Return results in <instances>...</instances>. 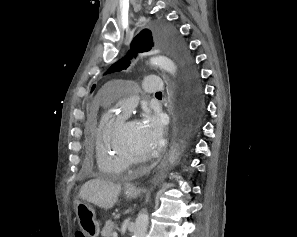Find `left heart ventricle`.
<instances>
[{
  "mask_svg": "<svg viewBox=\"0 0 297 237\" xmlns=\"http://www.w3.org/2000/svg\"><path fill=\"white\" fill-rule=\"evenodd\" d=\"M124 140L129 149L136 155H145L153 151L143 142L137 122H131L126 126Z\"/></svg>",
  "mask_w": 297,
  "mask_h": 237,
  "instance_id": "b2bd125f",
  "label": "left heart ventricle"
}]
</instances>
